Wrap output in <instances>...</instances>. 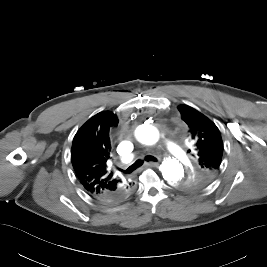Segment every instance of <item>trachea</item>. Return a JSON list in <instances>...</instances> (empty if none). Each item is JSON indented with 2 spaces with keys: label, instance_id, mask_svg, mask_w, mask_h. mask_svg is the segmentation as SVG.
Masks as SVG:
<instances>
[{
  "label": "trachea",
  "instance_id": "obj_1",
  "mask_svg": "<svg viewBox=\"0 0 267 267\" xmlns=\"http://www.w3.org/2000/svg\"><path fill=\"white\" fill-rule=\"evenodd\" d=\"M145 161L147 162H157V159L154 156L148 155L144 158ZM143 164V160L138 159L137 161H135L134 164H132L130 167L127 168V170L123 171L124 173H132L133 171H135L137 168H139L141 165Z\"/></svg>",
  "mask_w": 267,
  "mask_h": 267
}]
</instances>
